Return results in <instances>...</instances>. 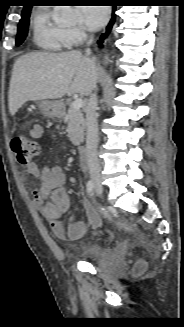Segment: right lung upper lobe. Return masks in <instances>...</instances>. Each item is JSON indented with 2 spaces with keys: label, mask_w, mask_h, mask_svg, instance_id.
<instances>
[{
  "label": "right lung upper lobe",
  "mask_w": 184,
  "mask_h": 327,
  "mask_svg": "<svg viewBox=\"0 0 184 327\" xmlns=\"http://www.w3.org/2000/svg\"><path fill=\"white\" fill-rule=\"evenodd\" d=\"M31 7H32V6H29V5L24 6V9H23V12H22V13L31 10Z\"/></svg>",
  "instance_id": "1"
}]
</instances>
